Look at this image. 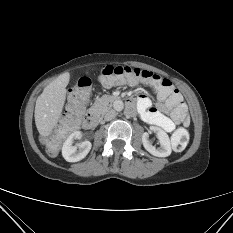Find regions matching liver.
I'll use <instances>...</instances> for the list:
<instances>
[{"label": "liver", "mask_w": 233, "mask_h": 233, "mask_svg": "<svg viewBox=\"0 0 233 233\" xmlns=\"http://www.w3.org/2000/svg\"><path fill=\"white\" fill-rule=\"evenodd\" d=\"M70 80V73L59 75L48 84L38 96L35 105V124L41 136L52 134L62 116L63 106L66 100V86Z\"/></svg>", "instance_id": "6515ba94"}]
</instances>
